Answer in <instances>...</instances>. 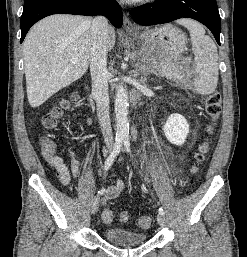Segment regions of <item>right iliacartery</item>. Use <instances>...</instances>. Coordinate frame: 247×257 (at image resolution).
<instances>
[{
  "mask_svg": "<svg viewBox=\"0 0 247 257\" xmlns=\"http://www.w3.org/2000/svg\"><path fill=\"white\" fill-rule=\"evenodd\" d=\"M122 139H116L113 151L109 155V157L105 161L104 169L105 171L109 170L110 167L112 166L114 160L116 157L119 155L121 148H122ZM105 192V189L102 188L101 190L98 191V194H103Z\"/></svg>",
  "mask_w": 247,
  "mask_h": 257,
  "instance_id": "82829eb1",
  "label": "right iliac artery"
}]
</instances>
